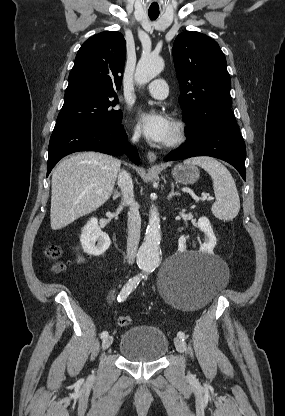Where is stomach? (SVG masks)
Here are the masks:
<instances>
[{
    "label": "stomach",
    "instance_id": "obj_1",
    "mask_svg": "<svg viewBox=\"0 0 285 416\" xmlns=\"http://www.w3.org/2000/svg\"><path fill=\"white\" fill-rule=\"evenodd\" d=\"M172 176L179 184H195L199 178V170L192 164H178L173 168Z\"/></svg>",
    "mask_w": 285,
    "mask_h": 416
}]
</instances>
